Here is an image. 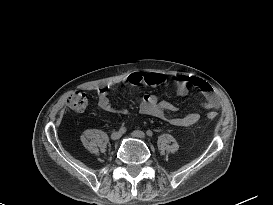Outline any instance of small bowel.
<instances>
[{"label": "small bowel", "mask_w": 273, "mask_h": 205, "mask_svg": "<svg viewBox=\"0 0 273 205\" xmlns=\"http://www.w3.org/2000/svg\"><path fill=\"white\" fill-rule=\"evenodd\" d=\"M166 80H170L176 83V94L178 96H186L188 93L187 83H191L197 89L201 91L205 100L202 103L203 107L207 109H217L220 107V99L213 87L201 78L187 76V75H176L172 77H165L158 73H140L134 72L122 79V83L126 85H150L156 86ZM98 105L99 107L110 113H122L125 114V109H117L114 107L108 96V88L101 87L98 90ZM176 110L174 104L169 101H158V99L149 93L144 94L141 104L140 112L144 115L154 116L157 118H167L166 112H173ZM169 122L178 127H188L195 124L199 120V115L194 112L187 113L182 117L168 118Z\"/></svg>", "instance_id": "1"}]
</instances>
